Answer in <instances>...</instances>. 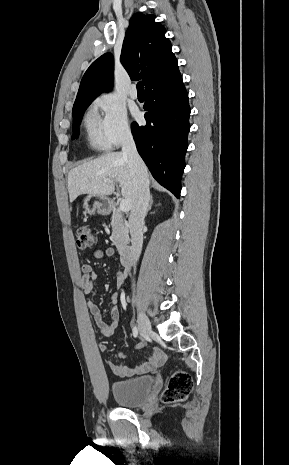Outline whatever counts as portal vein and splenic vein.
Instances as JSON below:
<instances>
[{
    "label": "portal vein and splenic vein",
    "instance_id": "obj_1",
    "mask_svg": "<svg viewBox=\"0 0 289 465\" xmlns=\"http://www.w3.org/2000/svg\"><path fill=\"white\" fill-rule=\"evenodd\" d=\"M106 183H111L109 180H104ZM131 209V202L128 199H122L120 202L119 210L121 212H128Z\"/></svg>",
    "mask_w": 289,
    "mask_h": 465
}]
</instances>
